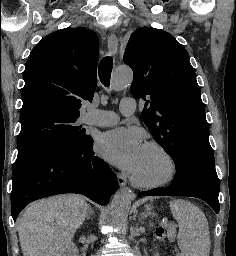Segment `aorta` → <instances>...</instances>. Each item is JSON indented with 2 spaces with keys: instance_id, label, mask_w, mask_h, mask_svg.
Segmentation results:
<instances>
[{
  "instance_id": "762f6f07",
  "label": "aorta",
  "mask_w": 236,
  "mask_h": 256,
  "mask_svg": "<svg viewBox=\"0 0 236 256\" xmlns=\"http://www.w3.org/2000/svg\"><path fill=\"white\" fill-rule=\"evenodd\" d=\"M133 80V72L127 66L118 67L112 77L111 87L114 91H120L129 86ZM134 193L129 188L119 190L111 203V215L113 222L120 228L126 226L129 209Z\"/></svg>"
}]
</instances>
